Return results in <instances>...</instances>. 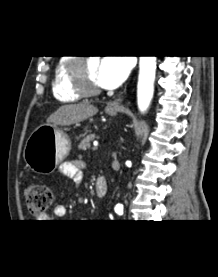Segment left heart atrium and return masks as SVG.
I'll use <instances>...</instances> for the list:
<instances>
[{"label":"left heart atrium","instance_id":"39dd6f15","mask_svg":"<svg viewBox=\"0 0 218 277\" xmlns=\"http://www.w3.org/2000/svg\"><path fill=\"white\" fill-rule=\"evenodd\" d=\"M130 61L126 57H105L97 71V83L100 87L113 89L118 87L130 71Z\"/></svg>","mask_w":218,"mask_h":277}]
</instances>
